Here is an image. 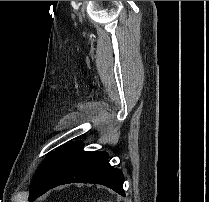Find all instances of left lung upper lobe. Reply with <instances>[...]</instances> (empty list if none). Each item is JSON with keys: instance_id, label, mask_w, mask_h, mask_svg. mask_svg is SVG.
<instances>
[{"instance_id": "obj_1", "label": "left lung upper lobe", "mask_w": 209, "mask_h": 202, "mask_svg": "<svg viewBox=\"0 0 209 202\" xmlns=\"http://www.w3.org/2000/svg\"><path fill=\"white\" fill-rule=\"evenodd\" d=\"M58 151L54 152L50 158H48L46 160V162L43 164V166L41 167V169L39 170V172L36 174L35 176V180L31 183L30 185V195L33 194V192L38 188V186L41 184V182L43 181L44 177L46 176L52 162L53 159L55 157V155L57 154Z\"/></svg>"}]
</instances>
